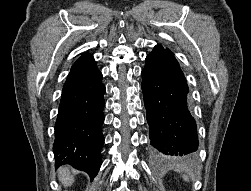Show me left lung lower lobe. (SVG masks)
Instances as JSON below:
<instances>
[{
    "label": "left lung lower lobe",
    "instance_id": "1",
    "mask_svg": "<svg viewBox=\"0 0 251 191\" xmlns=\"http://www.w3.org/2000/svg\"><path fill=\"white\" fill-rule=\"evenodd\" d=\"M142 77L153 154L184 157L195 153L198 135L191 114L189 88L174 55L154 48L146 57Z\"/></svg>",
    "mask_w": 251,
    "mask_h": 191
}]
</instances>
